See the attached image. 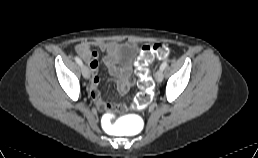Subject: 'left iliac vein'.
Returning a JSON list of instances; mask_svg holds the SVG:
<instances>
[{"label":"left iliac vein","instance_id":"1","mask_svg":"<svg viewBox=\"0 0 258 158\" xmlns=\"http://www.w3.org/2000/svg\"><path fill=\"white\" fill-rule=\"evenodd\" d=\"M155 79L157 82H162L163 80V70L159 69L155 74Z\"/></svg>","mask_w":258,"mask_h":158}]
</instances>
